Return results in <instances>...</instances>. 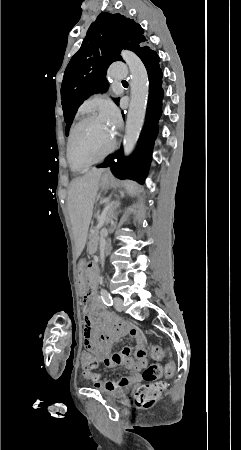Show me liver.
I'll list each match as a JSON object with an SVG mask.
<instances>
[{
    "label": "liver",
    "instance_id": "1",
    "mask_svg": "<svg viewBox=\"0 0 241 450\" xmlns=\"http://www.w3.org/2000/svg\"><path fill=\"white\" fill-rule=\"evenodd\" d=\"M102 172L103 170H92L82 178L73 180L69 188L70 216L75 218L78 226H82L84 220L87 222V228L90 224Z\"/></svg>",
    "mask_w": 241,
    "mask_h": 450
}]
</instances>
